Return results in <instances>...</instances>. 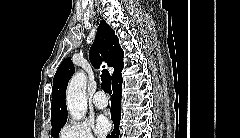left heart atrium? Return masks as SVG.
Wrapping results in <instances>:
<instances>
[{"instance_id": "left-heart-atrium-1", "label": "left heart atrium", "mask_w": 240, "mask_h": 138, "mask_svg": "<svg viewBox=\"0 0 240 138\" xmlns=\"http://www.w3.org/2000/svg\"><path fill=\"white\" fill-rule=\"evenodd\" d=\"M109 128H110L109 120L105 116L100 115L95 123V131L97 135L99 136L105 135L109 131Z\"/></svg>"}]
</instances>
